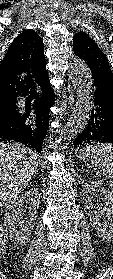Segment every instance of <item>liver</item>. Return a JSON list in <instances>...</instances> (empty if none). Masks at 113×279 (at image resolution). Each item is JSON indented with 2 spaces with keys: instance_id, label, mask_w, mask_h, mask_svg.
Segmentation results:
<instances>
[{
  "instance_id": "1",
  "label": "liver",
  "mask_w": 113,
  "mask_h": 279,
  "mask_svg": "<svg viewBox=\"0 0 113 279\" xmlns=\"http://www.w3.org/2000/svg\"><path fill=\"white\" fill-rule=\"evenodd\" d=\"M38 154L19 143H0V208L14 202L38 166Z\"/></svg>"
}]
</instances>
